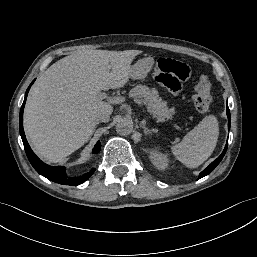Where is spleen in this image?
Wrapping results in <instances>:
<instances>
[{
	"mask_svg": "<svg viewBox=\"0 0 257 257\" xmlns=\"http://www.w3.org/2000/svg\"><path fill=\"white\" fill-rule=\"evenodd\" d=\"M219 136V124L209 115L188 132L182 142L171 147L175 157L189 168L203 164L213 153Z\"/></svg>",
	"mask_w": 257,
	"mask_h": 257,
	"instance_id": "1",
	"label": "spleen"
}]
</instances>
